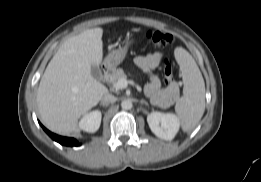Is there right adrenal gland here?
Masks as SVG:
<instances>
[{
	"mask_svg": "<svg viewBox=\"0 0 261 182\" xmlns=\"http://www.w3.org/2000/svg\"><path fill=\"white\" fill-rule=\"evenodd\" d=\"M99 105H100V106L107 107V104H104V103H102V102H101Z\"/></svg>",
	"mask_w": 261,
	"mask_h": 182,
	"instance_id": "1",
	"label": "right adrenal gland"
}]
</instances>
